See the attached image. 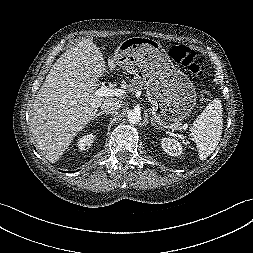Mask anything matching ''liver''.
Returning a JSON list of instances; mask_svg holds the SVG:
<instances>
[{"instance_id": "liver-1", "label": "liver", "mask_w": 253, "mask_h": 253, "mask_svg": "<svg viewBox=\"0 0 253 253\" xmlns=\"http://www.w3.org/2000/svg\"><path fill=\"white\" fill-rule=\"evenodd\" d=\"M115 60L111 57V69ZM105 71L103 55L91 38L70 47L50 69L35 97L30 126L38 148L51 163L59 160L102 103L114 99L95 94Z\"/></svg>"}]
</instances>
